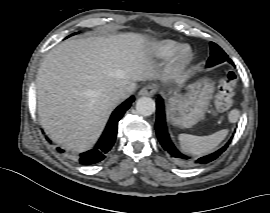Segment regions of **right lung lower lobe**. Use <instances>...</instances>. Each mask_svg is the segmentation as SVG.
Segmentation results:
<instances>
[{"instance_id": "right-lung-lower-lobe-1", "label": "right lung lower lobe", "mask_w": 270, "mask_h": 213, "mask_svg": "<svg viewBox=\"0 0 270 213\" xmlns=\"http://www.w3.org/2000/svg\"><path fill=\"white\" fill-rule=\"evenodd\" d=\"M133 101L134 97H130L115 109V111L112 113L110 117V120L106 126L103 135L101 136L96 146L93 149L80 154L79 162L81 164L90 165L97 163L105 158V155L108 153V151H110L115 142L117 135L118 121L129 109ZM48 141L50 142V140ZM57 150L59 152H64V150L60 148H57Z\"/></svg>"}]
</instances>
